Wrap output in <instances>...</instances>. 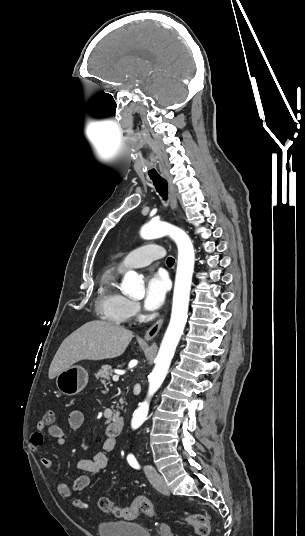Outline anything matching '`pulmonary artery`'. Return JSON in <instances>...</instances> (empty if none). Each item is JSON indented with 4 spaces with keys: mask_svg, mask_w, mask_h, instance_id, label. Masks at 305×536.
<instances>
[{
    "mask_svg": "<svg viewBox=\"0 0 305 536\" xmlns=\"http://www.w3.org/2000/svg\"><path fill=\"white\" fill-rule=\"evenodd\" d=\"M164 246L159 247L157 241H152L150 244L143 245L136 248L124 256L118 265L120 271L126 269L144 267L151 264L153 261L159 259H165L167 254Z\"/></svg>",
    "mask_w": 305,
    "mask_h": 536,
    "instance_id": "obj_1",
    "label": "pulmonary artery"
}]
</instances>
